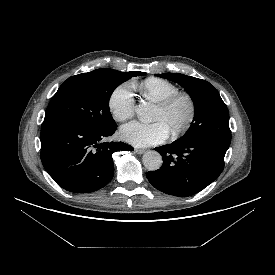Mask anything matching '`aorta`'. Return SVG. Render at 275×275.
<instances>
[{
  "label": "aorta",
  "mask_w": 275,
  "mask_h": 275,
  "mask_svg": "<svg viewBox=\"0 0 275 275\" xmlns=\"http://www.w3.org/2000/svg\"><path fill=\"white\" fill-rule=\"evenodd\" d=\"M136 114L141 121H147L153 114V106L141 103L136 106ZM162 156L156 151H148L143 155V164L149 171H156L162 166Z\"/></svg>",
  "instance_id": "762f6f07"
}]
</instances>
